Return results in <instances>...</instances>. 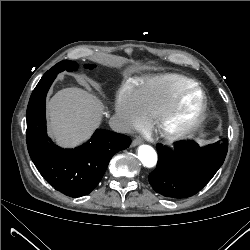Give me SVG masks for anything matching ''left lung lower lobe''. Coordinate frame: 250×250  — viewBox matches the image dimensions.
<instances>
[{
    "instance_id": "left-lung-lower-lobe-1",
    "label": "left lung lower lobe",
    "mask_w": 250,
    "mask_h": 250,
    "mask_svg": "<svg viewBox=\"0 0 250 250\" xmlns=\"http://www.w3.org/2000/svg\"><path fill=\"white\" fill-rule=\"evenodd\" d=\"M158 163L149 174L153 189L166 197L186 198L200 191L224 162L228 142L200 148L193 141L177 142L174 149L157 145Z\"/></svg>"
}]
</instances>
